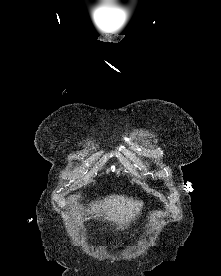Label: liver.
Returning a JSON list of instances; mask_svg holds the SVG:
<instances>
[{
  "instance_id": "obj_1",
  "label": "liver",
  "mask_w": 221,
  "mask_h": 276,
  "mask_svg": "<svg viewBox=\"0 0 221 276\" xmlns=\"http://www.w3.org/2000/svg\"><path fill=\"white\" fill-rule=\"evenodd\" d=\"M143 207V202L119 195H112L104 200L93 202L88 208V214L93 218L102 217L107 221L115 223L124 229L131 221L135 220ZM94 215V216H93ZM81 216L79 215V219Z\"/></svg>"
}]
</instances>
